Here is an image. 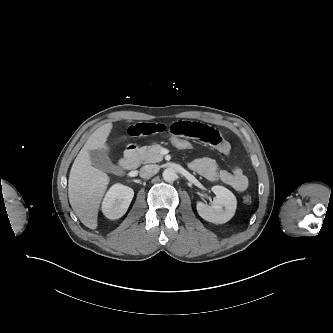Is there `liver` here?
<instances>
[{
	"mask_svg": "<svg viewBox=\"0 0 333 333\" xmlns=\"http://www.w3.org/2000/svg\"><path fill=\"white\" fill-rule=\"evenodd\" d=\"M112 123L100 126L86 141L77 155L69 174L68 196L71 207L80 221L90 229L98 226V210L109 184V177L93 167L90 150L104 149L112 129Z\"/></svg>",
	"mask_w": 333,
	"mask_h": 333,
	"instance_id": "obj_1",
	"label": "liver"
}]
</instances>
